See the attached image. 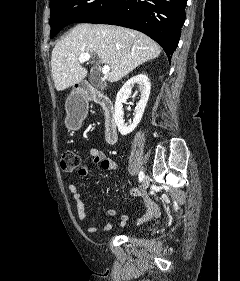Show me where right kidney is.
<instances>
[{"label":"right kidney","instance_id":"right-kidney-1","mask_svg":"<svg viewBox=\"0 0 240 281\" xmlns=\"http://www.w3.org/2000/svg\"><path fill=\"white\" fill-rule=\"evenodd\" d=\"M135 84L139 86V89L141 91V98L135 108L136 115L133 119V122L127 125L125 124V121L123 119L124 112H123L122 104L126 102V100L131 95L132 87ZM150 89H151V84L149 82L148 77L144 74H139L129 79L118 92L115 102L114 119L118 127V131L120 132L121 135H127L131 133L140 123L145 107L148 102Z\"/></svg>","mask_w":240,"mask_h":281}]
</instances>
